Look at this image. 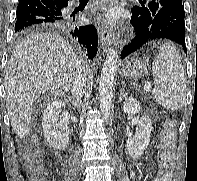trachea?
<instances>
[{
	"mask_svg": "<svg viewBox=\"0 0 197 181\" xmlns=\"http://www.w3.org/2000/svg\"><path fill=\"white\" fill-rule=\"evenodd\" d=\"M80 1H88V0H80Z\"/></svg>",
	"mask_w": 197,
	"mask_h": 181,
	"instance_id": "1",
	"label": "trachea"
}]
</instances>
